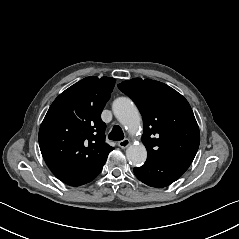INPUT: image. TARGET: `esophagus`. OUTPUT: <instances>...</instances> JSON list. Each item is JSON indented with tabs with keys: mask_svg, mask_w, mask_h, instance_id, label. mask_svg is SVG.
Here are the masks:
<instances>
[{
	"mask_svg": "<svg viewBox=\"0 0 239 239\" xmlns=\"http://www.w3.org/2000/svg\"><path fill=\"white\" fill-rule=\"evenodd\" d=\"M129 145H130V140L127 138L118 142V146L123 149L127 148Z\"/></svg>",
	"mask_w": 239,
	"mask_h": 239,
	"instance_id": "obj_1",
	"label": "esophagus"
}]
</instances>
